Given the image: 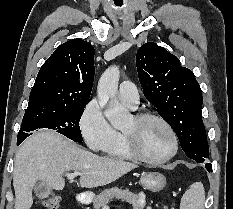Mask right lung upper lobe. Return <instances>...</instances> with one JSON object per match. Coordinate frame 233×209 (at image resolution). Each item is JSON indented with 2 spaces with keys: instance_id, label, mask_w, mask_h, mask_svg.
<instances>
[{
  "instance_id": "obj_1",
  "label": "right lung upper lobe",
  "mask_w": 233,
  "mask_h": 209,
  "mask_svg": "<svg viewBox=\"0 0 233 209\" xmlns=\"http://www.w3.org/2000/svg\"><path fill=\"white\" fill-rule=\"evenodd\" d=\"M94 47L72 39L58 46L41 66L28 106H71L88 102L95 67Z\"/></svg>"
}]
</instances>
